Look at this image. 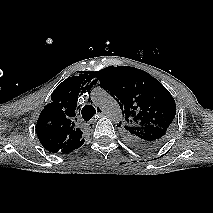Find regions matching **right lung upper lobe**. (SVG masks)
Listing matches in <instances>:
<instances>
[{
	"mask_svg": "<svg viewBox=\"0 0 213 213\" xmlns=\"http://www.w3.org/2000/svg\"><path fill=\"white\" fill-rule=\"evenodd\" d=\"M80 74L64 80L52 93V103L41 112L36 133L42 146L52 152L69 153L83 143L82 131L76 121L78 95L89 91L96 84V76ZM90 92V91H89Z\"/></svg>",
	"mask_w": 213,
	"mask_h": 213,
	"instance_id": "1",
	"label": "right lung upper lobe"
}]
</instances>
